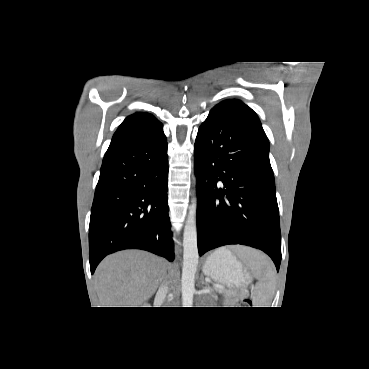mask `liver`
<instances>
[{
	"mask_svg": "<svg viewBox=\"0 0 369 369\" xmlns=\"http://www.w3.org/2000/svg\"><path fill=\"white\" fill-rule=\"evenodd\" d=\"M166 270L164 259L140 250H125L107 256L95 272L101 304L105 305L103 307L142 305L156 292Z\"/></svg>",
	"mask_w": 369,
	"mask_h": 369,
	"instance_id": "6515ba94",
	"label": "liver"
}]
</instances>
